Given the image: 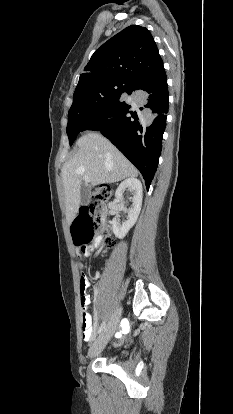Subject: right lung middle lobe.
Here are the masks:
<instances>
[{"label":"right lung middle lobe","instance_id":"obj_1","mask_svg":"<svg viewBox=\"0 0 233 414\" xmlns=\"http://www.w3.org/2000/svg\"><path fill=\"white\" fill-rule=\"evenodd\" d=\"M128 85L127 81L106 80L74 93L73 104L68 112L67 135L70 145L73 144L85 123L116 103Z\"/></svg>","mask_w":233,"mask_h":414}]
</instances>
